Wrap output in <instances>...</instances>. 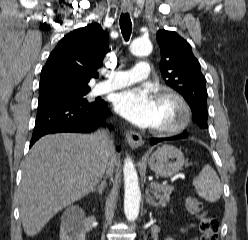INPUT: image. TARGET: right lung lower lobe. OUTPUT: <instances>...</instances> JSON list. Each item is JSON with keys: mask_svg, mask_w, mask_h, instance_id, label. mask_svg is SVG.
<instances>
[{"mask_svg": "<svg viewBox=\"0 0 248 240\" xmlns=\"http://www.w3.org/2000/svg\"><path fill=\"white\" fill-rule=\"evenodd\" d=\"M110 114L105 101L77 104L68 101H45L38 104L30 147L42 136L59 132L87 133L105 125ZM120 151V147H117Z\"/></svg>", "mask_w": 248, "mask_h": 240, "instance_id": "98d812e1", "label": "right lung lower lobe"}]
</instances>
